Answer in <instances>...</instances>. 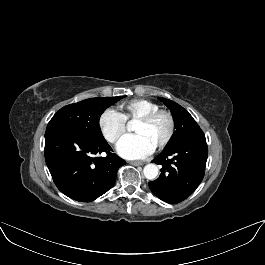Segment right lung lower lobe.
I'll return each mask as SVG.
<instances>
[{"instance_id": "1", "label": "right lung lower lobe", "mask_w": 265, "mask_h": 265, "mask_svg": "<svg viewBox=\"0 0 265 265\" xmlns=\"http://www.w3.org/2000/svg\"><path fill=\"white\" fill-rule=\"evenodd\" d=\"M103 138L69 129L45 132V160L57 188L66 196L90 202L107 192L125 160ZM106 152V157L98 156Z\"/></svg>"}]
</instances>
